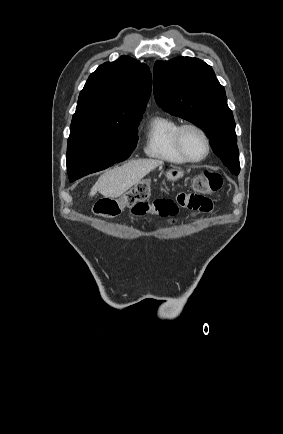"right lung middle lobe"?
I'll return each mask as SVG.
<instances>
[{
	"mask_svg": "<svg viewBox=\"0 0 283 434\" xmlns=\"http://www.w3.org/2000/svg\"><path fill=\"white\" fill-rule=\"evenodd\" d=\"M140 120L71 123L66 156L70 182L126 160L136 147Z\"/></svg>",
	"mask_w": 283,
	"mask_h": 434,
	"instance_id": "dd1d6c3e",
	"label": "right lung middle lobe"
}]
</instances>
